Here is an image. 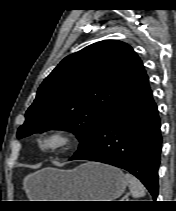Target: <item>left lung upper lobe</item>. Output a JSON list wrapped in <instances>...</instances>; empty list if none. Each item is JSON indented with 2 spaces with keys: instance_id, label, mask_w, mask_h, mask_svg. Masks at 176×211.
I'll list each match as a JSON object with an SVG mask.
<instances>
[{
  "instance_id": "obj_1",
  "label": "left lung upper lobe",
  "mask_w": 176,
  "mask_h": 211,
  "mask_svg": "<svg viewBox=\"0 0 176 211\" xmlns=\"http://www.w3.org/2000/svg\"><path fill=\"white\" fill-rule=\"evenodd\" d=\"M148 88L142 61L128 44L94 43L64 58L43 81L17 137L71 131L80 141L75 157L91 145L113 112Z\"/></svg>"
}]
</instances>
